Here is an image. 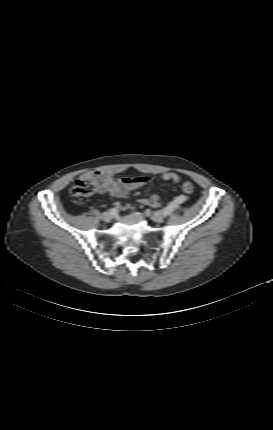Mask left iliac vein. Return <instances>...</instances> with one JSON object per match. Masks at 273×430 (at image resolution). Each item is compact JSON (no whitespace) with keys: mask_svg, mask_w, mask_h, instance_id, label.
Wrapping results in <instances>:
<instances>
[{"mask_svg":"<svg viewBox=\"0 0 273 430\" xmlns=\"http://www.w3.org/2000/svg\"><path fill=\"white\" fill-rule=\"evenodd\" d=\"M151 218H152L155 222H162V221H163V216H162L160 213H158V212L152 213V214H151Z\"/></svg>","mask_w":273,"mask_h":430,"instance_id":"4c4485c4","label":"left iliac vein"}]
</instances>
